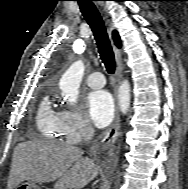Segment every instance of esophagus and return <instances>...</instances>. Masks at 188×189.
Here are the masks:
<instances>
[{
	"label": "esophagus",
	"instance_id": "esophagus-1",
	"mask_svg": "<svg viewBox=\"0 0 188 189\" xmlns=\"http://www.w3.org/2000/svg\"><path fill=\"white\" fill-rule=\"evenodd\" d=\"M115 58L117 63V69H116V82L117 85L115 87V96H116V112L115 117L113 120L112 125L110 128L105 132L104 137L102 139V150H107L110 146L113 145L115 140L118 136V131L120 129V114L118 110V102H117V87L120 83L121 76H122V58L121 53L118 49H115Z\"/></svg>",
	"mask_w": 188,
	"mask_h": 189
}]
</instances>
